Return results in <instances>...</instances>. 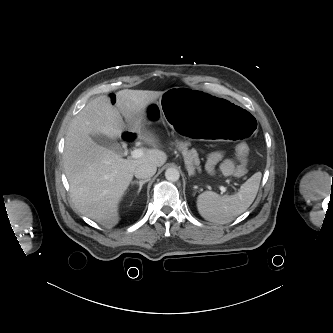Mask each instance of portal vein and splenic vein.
<instances>
[{
    "mask_svg": "<svg viewBox=\"0 0 333 333\" xmlns=\"http://www.w3.org/2000/svg\"><path fill=\"white\" fill-rule=\"evenodd\" d=\"M144 155V152L142 149H135L131 152V156L133 158H140ZM220 190L222 193H225L226 192V188L225 187H220Z\"/></svg>",
    "mask_w": 333,
    "mask_h": 333,
    "instance_id": "1",
    "label": "portal vein and splenic vein"
}]
</instances>
